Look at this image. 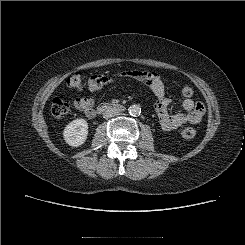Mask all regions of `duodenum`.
Wrapping results in <instances>:
<instances>
[{
	"instance_id": "410a0bca",
	"label": "duodenum",
	"mask_w": 245,
	"mask_h": 245,
	"mask_svg": "<svg viewBox=\"0 0 245 245\" xmlns=\"http://www.w3.org/2000/svg\"><path fill=\"white\" fill-rule=\"evenodd\" d=\"M125 110V106L121 103L115 102H104L98 105V107L94 110L95 114H101L106 111H116V112H123Z\"/></svg>"
}]
</instances>
